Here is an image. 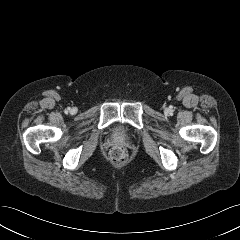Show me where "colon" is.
Wrapping results in <instances>:
<instances>
[{"mask_svg":"<svg viewBox=\"0 0 240 240\" xmlns=\"http://www.w3.org/2000/svg\"><path fill=\"white\" fill-rule=\"evenodd\" d=\"M109 160L114 165H122L128 157L127 150L120 145L111 147L108 153Z\"/></svg>","mask_w":240,"mask_h":240,"instance_id":"5ec220e1","label":"colon"}]
</instances>
